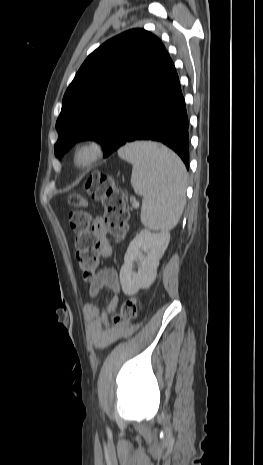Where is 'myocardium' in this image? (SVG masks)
<instances>
[{"label":"myocardium","instance_id":"myocardium-1","mask_svg":"<svg viewBox=\"0 0 263 465\" xmlns=\"http://www.w3.org/2000/svg\"><path fill=\"white\" fill-rule=\"evenodd\" d=\"M105 153L104 142L97 137H86L78 140L71 150V161L75 168L86 170L96 164ZM81 154L85 155L83 160L79 159Z\"/></svg>","mask_w":263,"mask_h":465}]
</instances>
